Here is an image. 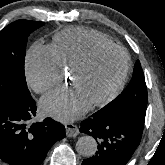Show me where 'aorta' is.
Wrapping results in <instances>:
<instances>
[{"mask_svg": "<svg viewBox=\"0 0 165 165\" xmlns=\"http://www.w3.org/2000/svg\"><path fill=\"white\" fill-rule=\"evenodd\" d=\"M76 151L84 157H91L97 151V142L92 136H82L76 142Z\"/></svg>", "mask_w": 165, "mask_h": 165, "instance_id": "obj_1", "label": "aorta"}]
</instances>
